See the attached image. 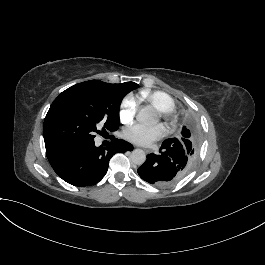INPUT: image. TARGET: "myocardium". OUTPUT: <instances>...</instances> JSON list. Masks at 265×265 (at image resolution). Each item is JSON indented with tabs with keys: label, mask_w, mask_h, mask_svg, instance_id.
<instances>
[{
	"label": "myocardium",
	"mask_w": 265,
	"mask_h": 265,
	"mask_svg": "<svg viewBox=\"0 0 265 265\" xmlns=\"http://www.w3.org/2000/svg\"><path fill=\"white\" fill-rule=\"evenodd\" d=\"M169 113H170V112H166V113H163V114H165V116H169Z\"/></svg>",
	"instance_id": "1"
}]
</instances>
